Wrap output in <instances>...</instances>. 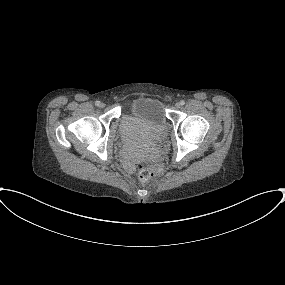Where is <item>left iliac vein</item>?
<instances>
[{"label": "left iliac vein", "mask_w": 285, "mask_h": 285, "mask_svg": "<svg viewBox=\"0 0 285 285\" xmlns=\"http://www.w3.org/2000/svg\"><path fill=\"white\" fill-rule=\"evenodd\" d=\"M175 107H176V108H180V107H181V104H180L179 102H177V103L175 104Z\"/></svg>", "instance_id": "obj_1"}]
</instances>
